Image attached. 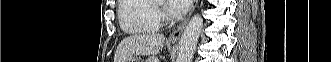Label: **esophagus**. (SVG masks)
Instances as JSON below:
<instances>
[{"mask_svg": "<svg viewBox=\"0 0 331 62\" xmlns=\"http://www.w3.org/2000/svg\"><path fill=\"white\" fill-rule=\"evenodd\" d=\"M197 3H198V0H193L192 1V6H191V9H190V11H189V14L187 15V17L183 20V22L169 35V37H168V40L170 41V42H176V41H178L179 40V38H180V36H181V34H182V32H183V30H184V28H185V26H186V24H187V22H188V20H189V18H190V16H191V14L193 13V11H194V9H195V7H196V5H197Z\"/></svg>", "mask_w": 331, "mask_h": 62, "instance_id": "1", "label": "esophagus"}]
</instances>
